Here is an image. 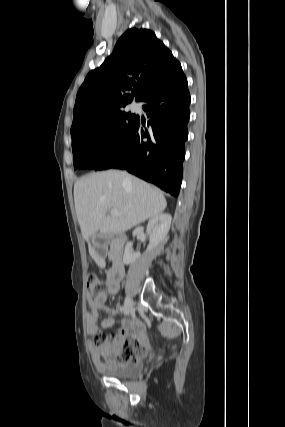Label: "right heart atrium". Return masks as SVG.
Wrapping results in <instances>:
<instances>
[{"label":"right heart atrium","instance_id":"obj_1","mask_svg":"<svg viewBox=\"0 0 285 427\" xmlns=\"http://www.w3.org/2000/svg\"><path fill=\"white\" fill-rule=\"evenodd\" d=\"M112 139V134L110 131L108 130H103L101 132H99V134L97 135L96 138V142L98 144L99 147H107Z\"/></svg>","mask_w":285,"mask_h":427}]
</instances>
